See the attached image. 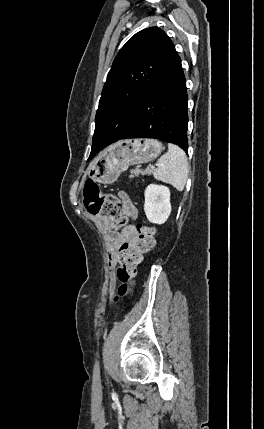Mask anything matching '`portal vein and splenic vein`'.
I'll list each match as a JSON object with an SVG mask.
<instances>
[{"label": "portal vein and splenic vein", "mask_w": 264, "mask_h": 429, "mask_svg": "<svg viewBox=\"0 0 264 429\" xmlns=\"http://www.w3.org/2000/svg\"><path fill=\"white\" fill-rule=\"evenodd\" d=\"M155 166H159V164H155V165H150V169H154Z\"/></svg>", "instance_id": "18ae733b"}]
</instances>
